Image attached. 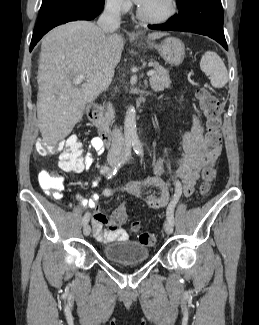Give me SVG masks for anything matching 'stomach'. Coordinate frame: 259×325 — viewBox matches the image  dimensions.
Segmentation results:
<instances>
[{"mask_svg": "<svg viewBox=\"0 0 259 325\" xmlns=\"http://www.w3.org/2000/svg\"><path fill=\"white\" fill-rule=\"evenodd\" d=\"M151 49H156L161 57L171 66L180 65L185 57L184 43L176 37H168L160 44L147 42Z\"/></svg>", "mask_w": 259, "mask_h": 325, "instance_id": "stomach-1", "label": "stomach"}]
</instances>
